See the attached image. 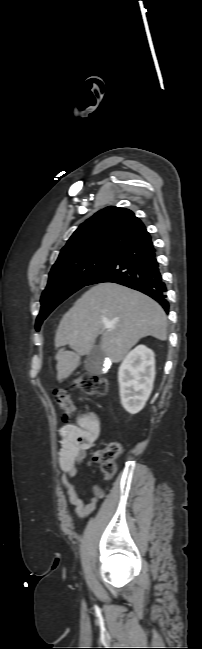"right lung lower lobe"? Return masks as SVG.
<instances>
[{"label": "right lung lower lobe", "instance_id": "right-lung-lower-lobe-1", "mask_svg": "<svg viewBox=\"0 0 202 649\" xmlns=\"http://www.w3.org/2000/svg\"><path fill=\"white\" fill-rule=\"evenodd\" d=\"M118 283L155 299L168 313L166 285L162 279L151 236L134 242L102 265L85 284Z\"/></svg>", "mask_w": 202, "mask_h": 649}]
</instances>
